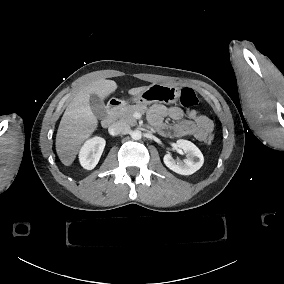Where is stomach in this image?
<instances>
[{
	"mask_svg": "<svg viewBox=\"0 0 284 284\" xmlns=\"http://www.w3.org/2000/svg\"><path fill=\"white\" fill-rule=\"evenodd\" d=\"M180 88L161 83H154L134 100L139 104L163 103L174 104L180 98Z\"/></svg>",
	"mask_w": 284,
	"mask_h": 284,
	"instance_id": "obj_1",
	"label": "stomach"
}]
</instances>
